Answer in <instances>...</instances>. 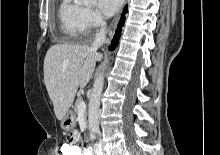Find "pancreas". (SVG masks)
<instances>
[{
	"label": "pancreas",
	"instance_id": "obj_1",
	"mask_svg": "<svg viewBox=\"0 0 220 155\" xmlns=\"http://www.w3.org/2000/svg\"><path fill=\"white\" fill-rule=\"evenodd\" d=\"M82 101V98H78L74 104V111L75 113H78V105L80 104V102Z\"/></svg>",
	"mask_w": 220,
	"mask_h": 155
}]
</instances>
